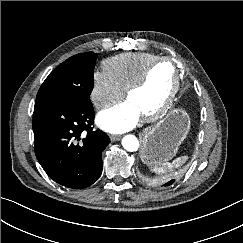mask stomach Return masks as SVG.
Wrapping results in <instances>:
<instances>
[{
	"label": "stomach",
	"instance_id": "0dacf381",
	"mask_svg": "<svg viewBox=\"0 0 243 243\" xmlns=\"http://www.w3.org/2000/svg\"><path fill=\"white\" fill-rule=\"evenodd\" d=\"M190 128V118L182 109H173L142 135L141 160L155 165L170 160L177 153Z\"/></svg>",
	"mask_w": 243,
	"mask_h": 243
}]
</instances>
